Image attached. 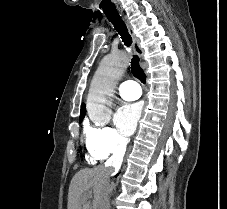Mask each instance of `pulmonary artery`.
I'll use <instances>...</instances> for the list:
<instances>
[{
	"instance_id": "pulmonary-artery-1",
	"label": "pulmonary artery",
	"mask_w": 227,
	"mask_h": 209,
	"mask_svg": "<svg viewBox=\"0 0 227 209\" xmlns=\"http://www.w3.org/2000/svg\"><path fill=\"white\" fill-rule=\"evenodd\" d=\"M141 88H139V84H121L118 87V94L124 100H135L140 96Z\"/></svg>"
}]
</instances>
